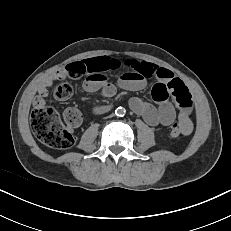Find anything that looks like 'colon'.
I'll return each instance as SVG.
<instances>
[{"label": "colon", "mask_w": 231, "mask_h": 231, "mask_svg": "<svg viewBox=\"0 0 231 231\" xmlns=\"http://www.w3.org/2000/svg\"><path fill=\"white\" fill-rule=\"evenodd\" d=\"M66 73L71 78L83 75L80 64L74 62L68 64ZM58 100H66L72 95V86L69 83H61L53 91ZM31 127L34 135L45 145L55 149H69L74 144L72 129L81 123V114L74 108H69L61 115L55 109L46 105H34L31 112ZM172 137L184 134L179 123L172 125L170 130Z\"/></svg>", "instance_id": "5ec220e1"}]
</instances>
